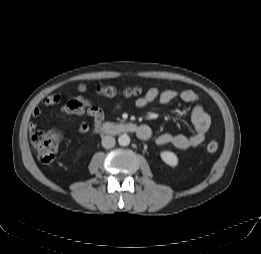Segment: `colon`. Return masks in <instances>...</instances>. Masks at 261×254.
<instances>
[{
    "label": "colon",
    "instance_id": "obj_1",
    "mask_svg": "<svg viewBox=\"0 0 261 254\" xmlns=\"http://www.w3.org/2000/svg\"><path fill=\"white\" fill-rule=\"evenodd\" d=\"M95 92L104 97L122 96L125 98L137 96L141 90L138 87L117 88L112 85H98ZM62 141V135L57 130H35L31 134V143L40 160L45 164H52L58 152ZM208 153H215L218 150V144L211 141L207 144Z\"/></svg>",
    "mask_w": 261,
    "mask_h": 254
}]
</instances>
